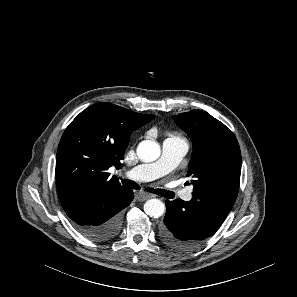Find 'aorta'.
I'll return each mask as SVG.
<instances>
[{
    "label": "aorta",
    "mask_w": 297,
    "mask_h": 297,
    "mask_svg": "<svg viewBox=\"0 0 297 297\" xmlns=\"http://www.w3.org/2000/svg\"><path fill=\"white\" fill-rule=\"evenodd\" d=\"M160 152L159 144L152 140H144L137 147L139 159L145 162L155 161L159 158ZM144 211L149 217L158 218L164 214L165 205L159 199H149L144 204Z\"/></svg>",
    "instance_id": "obj_1"
}]
</instances>
